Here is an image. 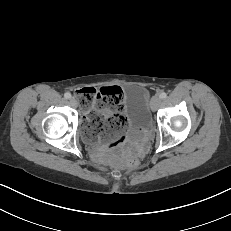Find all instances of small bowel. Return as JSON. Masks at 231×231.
Masks as SVG:
<instances>
[{
    "instance_id": "obj_1",
    "label": "small bowel",
    "mask_w": 231,
    "mask_h": 231,
    "mask_svg": "<svg viewBox=\"0 0 231 231\" xmlns=\"http://www.w3.org/2000/svg\"><path fill=\"white\" fill-rule=\"evenodd\" d=\"M103 149H104L103 146L98 147V152L101 153L103 151Z\"/></svg>"
}]
</instances>
